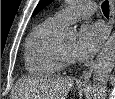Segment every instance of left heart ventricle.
Segmentation results:
<instances>
[{"instance_id":"left-heart-ventricle-1","label":"left heart ventricle","mask_w":115,"mask_h":99,"mask_svg":"<svg viewBox=\"0 0 115 99\" xmlns=\"http://www.w3.org/2000/svg\"><path fill=\"white\" fill-rule=\"evenodd\" d=\"M74 48H75V40H71L61 46V49L65 53H67L68 55H71L73 57H74Z\"/></svg>"}]
</instances>
